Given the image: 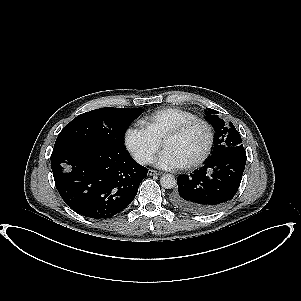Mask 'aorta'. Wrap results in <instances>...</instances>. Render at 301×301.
<instances>
[{"instance_id":"1","label":"aorta","mask_w":301,"mask_h":301,"mask_svg":"<svg viewBox=\"0 0 301 301\" xmlns=\"http://www.w3.org/2000/svg\"><path fill=\"white\" fill-rule=\"evenodd\" d=\"M160 185L165 189H171L176 186V179L171 174H163L160 178Z\"/></svg>"}]
</instances>
